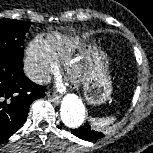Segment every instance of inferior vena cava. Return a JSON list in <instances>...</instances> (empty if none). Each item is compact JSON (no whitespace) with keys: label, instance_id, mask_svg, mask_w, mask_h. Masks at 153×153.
Segmentation results:
<instances>
[{"label":"inferior vena cava","instance_id":"602c4592","mask_svg":"<svg viewBox=\"0 0 153 153\" xmlns=\"http://www.w3.org/2000/svg\"><path fill=\"white\" fill-rule=\"evenodd\" d=\"M26 76L36 84H48L51 80L50 76L47 73L40 72L35 69H25Z\"/></svg>","mask_w":153,"mask_h":153}]
</instances>
